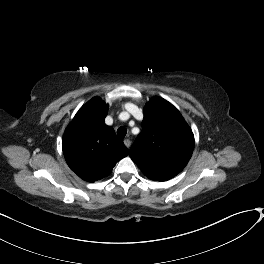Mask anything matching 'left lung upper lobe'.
<instances>
[{
    "label": "left lung upper lobe",
    "mask_w": 264,
    "mask_h": 264,
    "mask_svg": "<svg viewBox=\"0 0 264 264\" xmlns=\"http://www.w3.org/2000/svg\"><path fill=\"white\" fill-rule=\"evenodd\" d=\"M141 125L143 130L130 148L131 159L151 180L173 178L191 158V128L171 103L159 97L146 104Z\"/></svg>",
    "instance_id": "obj_1"
}]
</instances>
